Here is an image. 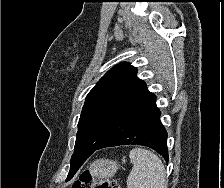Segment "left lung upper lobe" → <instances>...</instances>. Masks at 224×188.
<instances>
[{
  "instance_id": "obj_1",
  "label": "left lung upper lobe",
  "mask_w": 224,
  "mask_h": 188,
  "mask_svg": "<svg viewBox=\"0 0 224 188\" xmlns=\"http://www.w3.org/2000/svg\"><path fill=\"white\" fill-rule=\"evenodd\" d=\"M136 74L137 69L130 64H117L88 93L78 123L72 163L86 160L124 112L148 91Z\"/></svg>"
}]
</instances>
